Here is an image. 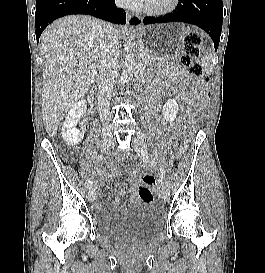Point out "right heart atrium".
Segmentation results:
<instances>
[{"mask_svg": "<svg viewBox=\"0 0 265 273\" xmlns=\"http://www.w3.org/2000/svg\"><path fill=\"white\" fill-rule=\"evenodd\" d=\"M132 0H116V3L120 6H127L131 3Z\"/></svg>", "mask_w": 265, "mask_h": 273, "instance_id": "right-heart-atrium-1", "label": "right heart atrium"}]
</instances>
